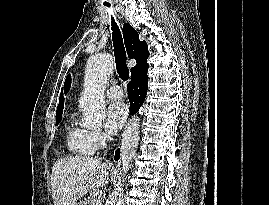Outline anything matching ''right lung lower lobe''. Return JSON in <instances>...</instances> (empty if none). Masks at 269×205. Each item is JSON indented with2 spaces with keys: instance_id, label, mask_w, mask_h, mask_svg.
I'll return each instance as SVG.
<instances>
[{
  "instance_id": "obj_1",
  "label": "right lung lower lobe",
  "mask_w": 269,
  "mask_h": 205,
  "mask_svg": "<svg viewBox=\"0 0 269 205\" xmlns=\"http://www.w3.org/2000/svg\"><path fill=\"white\" fill-rule=\"evenodd\" d=\"M147 72L140 73L131 78L128 84V98L130 101V112L135 114L144 102L147 94ZM120 149L116 150L115 160L119 159Z\"/></svg>"
}]
</instances>
